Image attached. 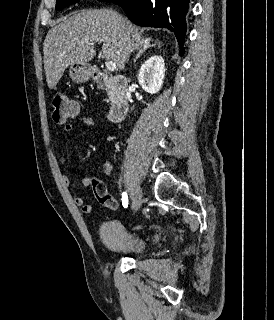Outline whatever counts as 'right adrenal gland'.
I'll return each mask as SVG.
<instances>
[{"label": "right adrenal gland", "mask_w": 274, "mask_h": 320, "mask_svg": "<svg viewBox=\"0 0 274 320\" xmlns=\"http://www.w3.org/2000/svg\"><path fill=\"white\" fill-rule=\"evenodd\" d=\"M148 42L147 44H145L143 50H139L135 60H133L134 64H136L138 58H141L142 54H144V52H146V50H149V48H153V46H156V42L155 44H151V42H153V40H151V38H147Z\"/></svg>", "instance_id": "obj_1"}]
</instances>
